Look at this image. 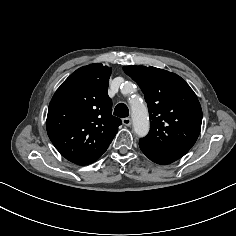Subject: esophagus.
<instances>
[{"instance_id": "obj_1", "label": "esophagus", "mask_w": 236, "mask_h": 236, "mask_svg": "<svg viewBox=\"0 0 236 236\" xmlns=\"http://www.w3.org/2000/svg\"><path fill=\"white\" fill-rule=\"evenodd\" d=\"M122 122L125 126H130L132 123L131 118L129 117L123 118Z\"/></svg>"}]
</instances>
